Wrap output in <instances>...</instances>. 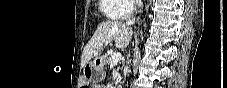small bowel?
<instances>
[{
  "label": "small bowel",
  "instance_id": "small-bowel-1",
  "mask_svg": "<svg viewBox=\"0 0 227 88\" xmlns=\"http://www.w3.org/2000/svg\"><path fill=\"white\" fill-rule=\"evenodd\" d=\"M95 87H96V88H101L102 86H100V85H96Z\"/></svg>",
  "mask_w": 227,
  "mask_h": 88
}]
</instances>
